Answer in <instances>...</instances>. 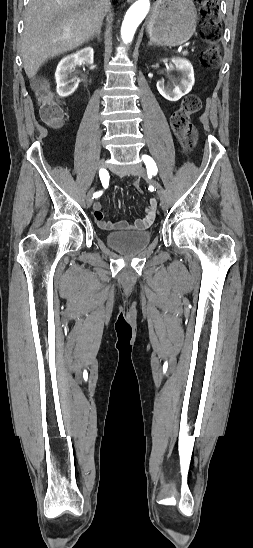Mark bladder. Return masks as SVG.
Here are the masks:
<instances>
[{
	"instance_id": "bladder-1",
	"label": "bladder",
	"mask_w": 253,
	"mask_h": 548,
	"mask_svg": "<svg viewBox=\"0 0 253 548\" xmlns=\"http://www.w3.org/2000/svg\"><path fill=\"white\" fill-rule=\"evenodd\" d=\"M151 238L152 234L149 230L114 231L106 235L107 244L123 254L141 252L149 245Z\"/></svg>"
}]
</instances>
